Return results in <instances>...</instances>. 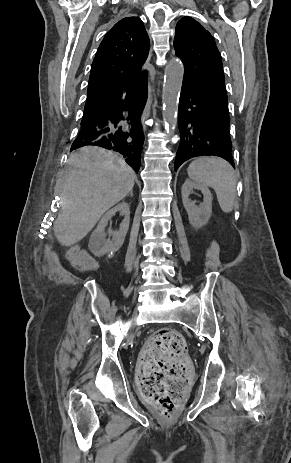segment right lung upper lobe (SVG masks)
Instances as JSON below:
<instances>
[{
    "instance_id": "right-lung-upper-lobe-1",
    "label": "right lung upper lobe",
    "mask_w": 291,
    "mask_h": 463,
    "mask_svg": "<svg viewBox=\"0 0 291 463\" xmlns=\"http://www.w3.org/2000/svg\"><path fill=\"white\" fill-rule=\"evenodd\" d=\"M149 48L148 34L138 17L124 18L107 32L92 63L85 120L121 107L147 87V72L141 68Z\"/></svg>"
}]
</instances>
